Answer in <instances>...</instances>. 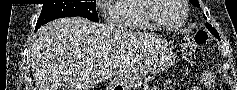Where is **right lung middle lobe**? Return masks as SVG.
Masks as SVG:
<instances>
[{"instance_id": "right-lung-middle-lobe-1", "label": "right lung middle lobe", "mask_w": 237, "mask_h": 90, "mask_svg": "<svg viewBox=\"0 0 237 90\" xmlns=\"http://www.w3.org/2000/svg\"><path fill=\"white\" fill-rule=\"evenodd\" d=\"M73 16H80L98 22L96 2L43 4L35 29L37 30L41 25L54 19Z\"/></svg>"}]
</instances>
